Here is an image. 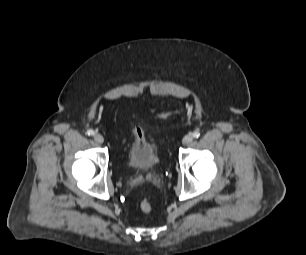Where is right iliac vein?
Segmentation results:
<instances>
[{
	"mask_svg": "<svg viewBox=\"0 0 306 255\" xmlns=\"http://www.w3.org/2000/svg\"><path fill=\"white\" fill-rule=\"evenodd\" d=\"M94 140L97 142V143H100L102 144L104 142V137L99 134V133H96L94 134Z\"/></svg>",
	"mask_w": 306,
	"mask_h": 255,
	"instance_id": "obj_1",
	"label": "right iliac vein"
}]
</instances>
